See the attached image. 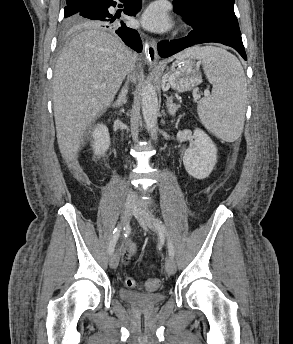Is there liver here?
<instances>
[{
	"mask_svg": "<svg viewBox=\"0 0 293 344\" xmlns=\"http://www.w3.org/2000/svg\"><path fill=\"white\" fill-rule=\"evenodd\" d=\"M95 27L73 37L55 65L54 117L66 162L77 159L87 128L110 107L125 77L135 69L131 51L117 37ZM131 79L136 82L137 75Z\"/></svg>",
	"mask_w": 293,
	"mask_h": 344,
	"instance_id": "obj_1",
	"label": "liver"
}]
</instances>
